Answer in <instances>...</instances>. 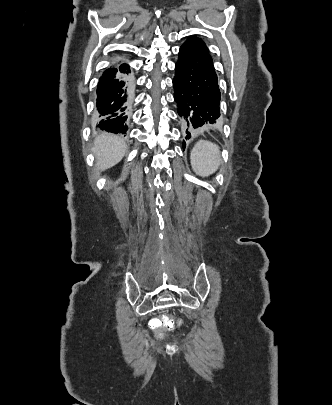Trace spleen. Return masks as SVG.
Wrapping results in <instances>:
<instances>
[{
  "label": "spleen",
  "instance_id": "1",
  "mask_svg": "<svg viewBox=\"0 0 332 405\" xmlns=\"http://www.w3.org/2000/svg\"><path fill=\"white\" fill-rule=\"evenodd\" d=\"M190 161L192 169L198 176H210L216 172L220 166V148L211 141L199 140L191 151Z\"/></svg>",
  "mask_w": 332,
  "mask_h": 405
}]
</instances>
